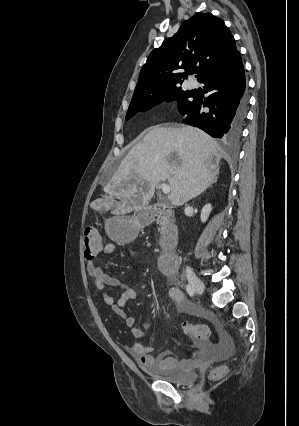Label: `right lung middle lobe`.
Here are the masks:
<instances>
[{
    "instance_id": "right-lung-middle-lobe-1",
    "label": "right lung middle lobe",
    "mask_w": 299,
    "mask_h": 426,
    "mask_svg": "<svg viewBox=\"0 0 299 426\" xmlns=\"http://www.w3.org/2000/svg\"><path fill=\"white\" fill-rule=\"evenodd\" d=\"M192 97L190 92L183 91L179 86L150 94L142 99L131 101L125 120L131 119L138 112L147 111L164 100L167 102L177 100L178 110L181 111L191 103Z\"/></svg>"
}]
</instances>
